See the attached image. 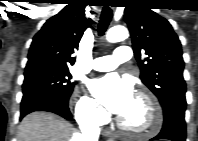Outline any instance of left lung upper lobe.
Returning <instances> with one entry per match:
<instances>
[{"label": "left lung upper lobe", "mask_w": 198, "mask_h": 141, "mask_svg": "<svg viewBox=\"0 0 198 141\" xmlns=\"http://www.w3.org/2000/svg\"><path fill=\"white\" fill-rule=\"evenodd\" d=\"M149 5L146 0H132L125 9V21L139 62L140 78L164 108L171 102L185 101L184 61L181 43L171 24ZM142 53L148 56L143 61Z\"/></svg>", "instance_id": "left-lung-upper-lobe-1"}]
</instances>
